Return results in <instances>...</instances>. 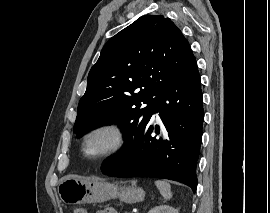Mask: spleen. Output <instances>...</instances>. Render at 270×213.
<instances>
[{
    "label": "spleen",
    "instance_id": "spleen-1",
    "mask_svg": "<svg viewBox=\"0 0 270 213\" xmlns=\"http://www.w3.org/2000/svg\"><path fill=\"white\" fill-rule=\"evenodd\" d=\"M155 185L160 191V194L164 199L168 200L172 197L171 186L167 181L164 180H156Z\"/></svg>",
    "mask_w": 270,
    "mask_h": 213
}]
</instances>
